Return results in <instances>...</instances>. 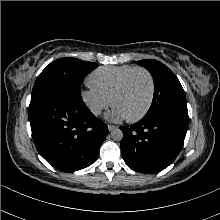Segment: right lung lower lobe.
Listing matches in <instances>:
<instances>
[{"label": "right lung lower lobe", "instance_id": "obj_1", "mask_svg": "<svg viewBox=\"0 0 220 220\" xmlns=\"http://www.w3.org/2000/svg\"><path fill=\"white\" fill-rule=\"evenodd\" d=\"M29 120L40 155L66 172L91 165L108 135L107 125L82 100L58 92L33 94Z\"/></svg>", "mask_w": 220, "mask_h": 220}]
</instances>
